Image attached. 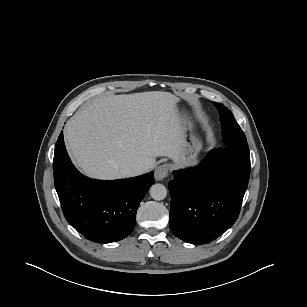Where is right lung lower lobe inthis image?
Wrapping results in <instances>:
<instances>
[{
    "instance_id": "1",
    "label": "right lung lower lobe",
    "mask_w": 307,
    "mask_h": 307,
    "mask_svg": "<svg viewBox=\"0 0 307 307\" xmlns=\"http://www.w3.org/2000/svg\"><path fill=\"white\" fill-rule=\"evenodd\" d=\"M55 188L66 220L93 242H115L134 229L136 212L153 172L119 180H95L83 176L72 164L60 133L55 145Z\"/></svg>"
}]
</instances>
